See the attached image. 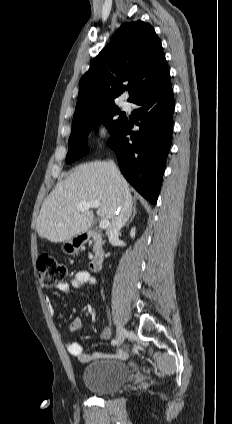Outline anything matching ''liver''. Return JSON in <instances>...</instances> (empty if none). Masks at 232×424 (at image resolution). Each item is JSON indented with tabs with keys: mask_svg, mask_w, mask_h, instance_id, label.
Listing matches in <instances>:
<instances>
[{
	"mask_svg": "<svg viewBox=\"0 0 232 424\" xmlns=\"http://www.w3.org/2000/svg\"><path fill=\"white\" fill-rule=\"evenodd\" d=\"M126 194H130L129 185L119 171H113L110 162L80 165L58 182L44 200L37 218V233L53 243L67 241L86 232L93 223V211H78V204L98 200L97 215L102 220H112Z\"/></svg>",
	"mask_w": 232,
	"mask_h": 424,
	"instance_id": "obj_1",
	"label": "liver"
}]
</instances>
